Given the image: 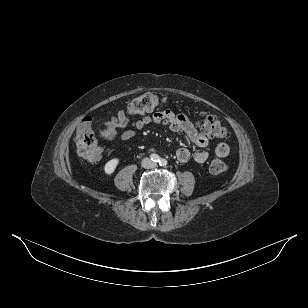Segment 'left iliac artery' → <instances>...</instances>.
<instances>
[{"mask_svg":"<svg viewBox=\"0 0 308 308\" xmlns=\"http://www.w3.org/2000/svg\"><path fill=\"white\" fill-rule=\"evenodd\" d=\"M159 164H160L161 166H166L167 161H166L165 159H161L160 162H159Z\"/></svg>","mask_w":308,"mask_h":308,"instance_id":"44dca946","label":"left iliac artery"}]
</instances>
